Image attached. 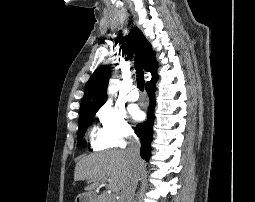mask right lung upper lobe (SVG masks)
Here are the masks:
<instances>
[{"label":"right lung upper lobe","mask_w":255,"mask_h":202,"mask_svg":"<svg viewBox=\"0 0 255 202\" xmlns=\"http://www.w3.org/2000/svg\"><path fill=\"white\" fill-rule=\"evenodd\" d=\"M126 50L129 57H131L132 52H136L143 68L151 73L152 79L146 84L156 82L158 76L155 72L157 69L155 53L148 40L137 27L133 28L128 35ZM109 76L110 68L107 65H103L95 70L86 84L80 111L99 109L106 102Z\"/></svg>","instance_id":"obj_1"}]
</instances>
